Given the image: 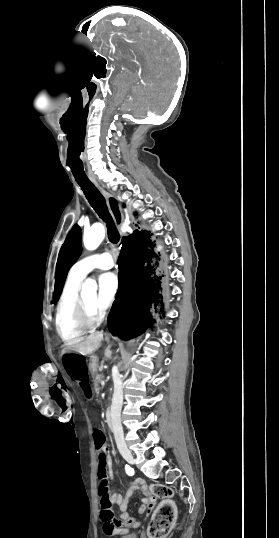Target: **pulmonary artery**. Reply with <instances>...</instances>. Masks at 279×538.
Listing matches in <instances>:
<instances>
[{"instance_id": "e3ab8cb5", "label": "pulmonary artery", "mask_w": 279, "mask_h": 538, "mask_svg": "<svg viewBox=\"0 0 279 538\" xmlns=\"http://www.w3.org/2000/svg\"><path fill=\"white\" fill-rule=\"evenodd\" d=\"M115 254L112 251H105L99 254H92L77 261L71 268V273L76 276H87L93 270H106L113 266Z\"/></svg>"}]
</instances>
